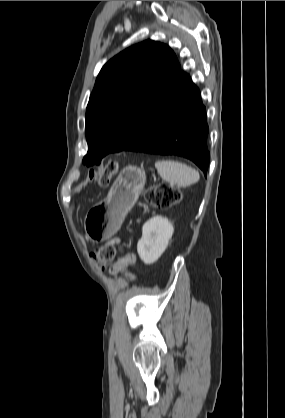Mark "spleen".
Masks as SVG:
<instances>
[{
	"instance_id": "spleen-1",
	"label": "spleen",
	"mask_w": 285,
	"mask_h": 418,
	"mask_svg": "<svg viewBox=\"0 0 285 418\" xmlns=\"http://www.w3.org/2000/svg\"><path fill=\"white\" fill-rule=\"evenodd\" d=\"M155 167L162 179L180 187L190 186L198 182L200 178L198 171L174 160L157 161Z\"/></svg>"
}]
</instances>
